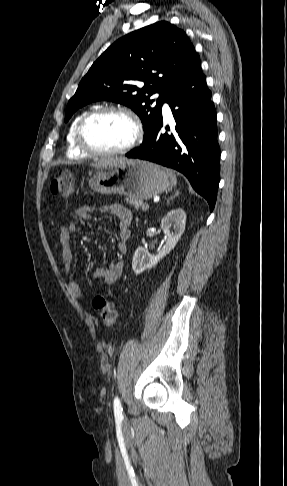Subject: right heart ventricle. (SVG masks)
<instances>
[{
  "label": "right heart ventricle",
  "instance_id": "1",
  "mask_svg": "<svg viewBox=\"0 0 287 486\" xmlns=\"http://www.w3.org/2000/svg\"><path fill=\"white\" fill-rule=\"evenodd\" d=\"M86 114V112H83L81 114H79L74 120L73 122L71 123L70 127H69V130H68V133H67V137H66V153H67V156L69 158H72V159H82V158H86L87 155L84 154L83 152H81L77 145H76V142H75V129H76V126L79 122V120L81 119V117Z\"/></svg>",
  "mask_w": 287,
  "mask_h": 486
}]
</instances>
